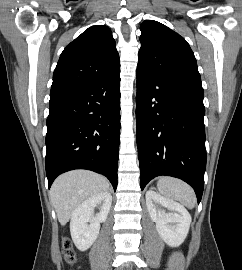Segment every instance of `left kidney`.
Masks as SVG:
<instances>
[{
  "label": "left kidney",
  "mask_w": 242,
  "mask_h": 270,
  "mask_svg": "<svg viewBox=\"0 0 242 270\" xmlns=\"http://www.w3.org/2000/svg\"><path fill=\"white\" fill-rule=\"evenodd\" d=\"M146 205L149 215L156 223L160 237L171 247L180 246L187 237L191 216L186 208L153 190L146 192ZM167 208L170 212H166Z\"/></svg>",
  "instance_id": "left-kidney-1"
}]
</instances>
